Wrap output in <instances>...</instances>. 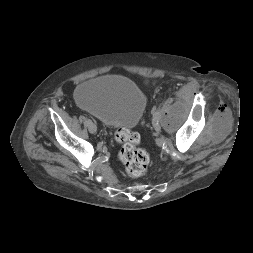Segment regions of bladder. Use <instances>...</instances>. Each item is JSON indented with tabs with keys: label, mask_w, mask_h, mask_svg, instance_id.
I'll return each mask as SVG.
<instances>
[{
	"label": "bladder",
	"mask_w": 253,
	"mask_h": 253,
	"mask_svg": "<svg viewBox=\"0 0 253 253\" xmlns=\"http://www.w3.org/2000/svg\"><path fill=\"white\" fill-rule=\"evenodd\" d=\"M77 104L105 126L131 129L143 116L147 97L130 79L101 76L80 83L75 89Z\"/></svg>",
	"instance_id": "obj_1"
}]
</instances>
